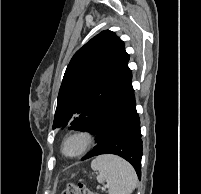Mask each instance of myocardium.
Masks as SVG:
<instances>
[{"mask_svg":"<svg viewBox=\"0 0 201 194\" xmlns=\"http://www.w3.org/2000/svg\"><path fill=\"white\" fill-rule=\"evenodd\" d=\"M72 140H79L81 142V147L74 153H67L65 147L67 143ZM93 143L94 135L91 131L87 129H76L64 136L60 144V151L65 158L76 159L84 156L91 149Z\"/></svg>","mask_w":201,"mask_h":194,"instance_id":"obj_1","label":"myocardium"}]
</instances>
